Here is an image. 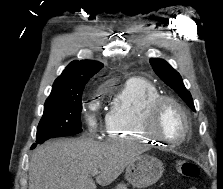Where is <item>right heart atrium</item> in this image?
<instances>
[{
	"instance_id": "obj_1",
	"label": "right heart atrium",
	"mask_w": 223,
	"mask_h": 189,
	"mask_svg": "<svg viewBox=\"0 0 223 189\" xmlns=\"http://www.w3.org/2000/svg\"><path fill=\"white\" fill-rule=\"evenodd\" d=\"M89 124H90V126L92 127V128H96V126H97V123H96V121H95V119L94 118H92L91 116H89Z\"/></svg>"
}]
</instances>
